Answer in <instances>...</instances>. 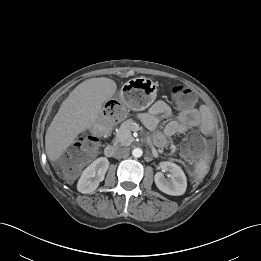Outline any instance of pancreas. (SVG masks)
<instances>
[{
	"mask_svg": "<svg viewBox=\"0 0 261 261\" xmlns=\"http://www.w3.org/2000/svg\"><path fill=\"white\" fill-rule=\"evenodd\" d=\"M134 125L135 123L131 119L124 121L116 133V137L114 138L113 143L115 145L129 146L134 141V138L131 134V130L133 129Z\"/></svg>",
	"mask_w": 261,
	"mask_h": 261,
	"instance_id": "obj_1",
	"label": "pancreas"
}]
</instances>
